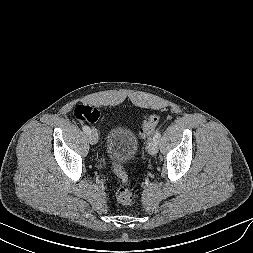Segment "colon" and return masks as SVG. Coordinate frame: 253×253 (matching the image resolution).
<instances>
[{
  "instance_id": "colon-1",
  "label": "colon",
  "mask_w": 253,
  "mask_h": 253,
  "mask_svg": "<svg viewBox=\"0 0 253 253\" xmlns=\"http://www.w3.org/2000/svg\"><path fill=\"white\" fill-rule=\"evenodd\" d=\"M76 119L83 122H93L96 119V109L92 107L79 105L74 110ZM159 123V116L156 114L150 115L142 124L139 130L141 138L149 137L156 129ZM114 173L121 182V186L117 189L116 198L122 205H130L134 201V194L128 186V175L124 168L115 164L113 166Z\"/></svg>"
}]
</instances>
